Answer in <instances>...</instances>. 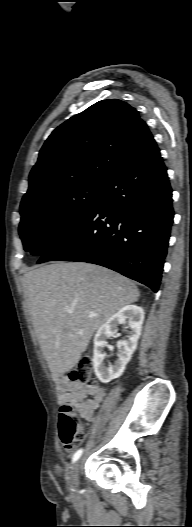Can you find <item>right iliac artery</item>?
I'll return each instance as SVG.
<instances>
[{
	"mask_svg": "<svg viewBox=\"0 0 192 527\" xmlns=\"http://www.w3.org/2000/svg\"><path fill=\"white\" fill-rule=\"evenodd\" d=\"M82 452H83L82 449H79L78 451L75 452V454L72 457L73 463L76 462L80 458V456L82 455Z\"/></svg>",
	"mask_w": 192,
	"mask_h": 527,
	"instance_id": "right-iliac-artery-1",
	"label": "right iliac artery"
}]
</instances>
